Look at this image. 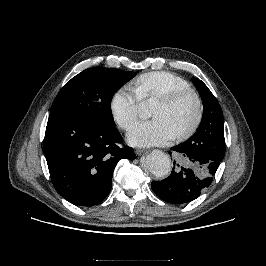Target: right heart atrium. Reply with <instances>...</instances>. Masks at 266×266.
<instances>
[{
  "label": "right heart atrium",
  "instance_id": "obj_1",
  "mask_svg": "<svg viewBox=\"0 0 266 266\" xmlns=\"http://www.w3.org/2000/svg\"><path fill=\"white\" fill-rule=\"evenodd\" d=\"M141 99L129 87L119 88L112 96L110 108L116 123L127 130L138 118Z\"/></svg>",
  "mask_w": 266,
  "mask_h": 266
}]
</instances>
